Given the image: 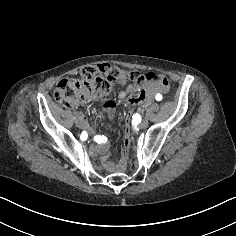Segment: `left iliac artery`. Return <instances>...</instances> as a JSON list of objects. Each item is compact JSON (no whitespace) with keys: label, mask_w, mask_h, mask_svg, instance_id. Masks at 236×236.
<instances>
[{"label":"left iliac artery","mask_w":236,"mask_h":236,"mask_svg":"<svg viewBox=\"0 0 236 236\" xmlns=\"http://www.w3.org/2000/svg\"><path fill=\"white\" fill-rule=\"evenodd\" d=\"M155 99H156L157 101L162 100V95L158 93V94L155 96Z\"/></svg>","instance_id":"44dca946"}]
</instances>
